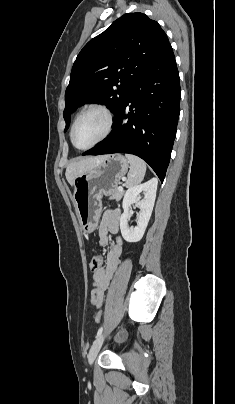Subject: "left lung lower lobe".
<instances>
[{
	"mask_svg": "<svg viewBox=\"0 0 235 404\" xmlns=\"http://www.w3.org/2000/svg\"><path fill=\"white\" fill-rule=\"evenodd\" d=\"M180 82L171 45L138 78L115 115L112 133L83 155L134 154L163 182L180 113Z\"/></svg>",
	"mask_w": 235,
	"mask_h": 404,
	"instance_id": "1",
	"label": "left lung lower lobe"
}]
</instances>
